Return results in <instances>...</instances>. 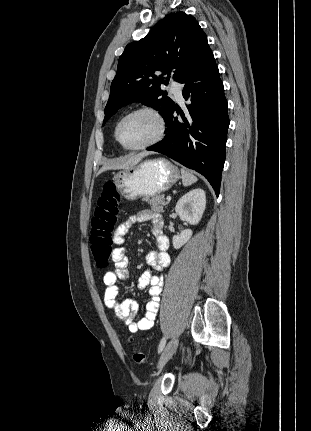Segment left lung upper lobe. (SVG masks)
<instances>
[{"label": "left lung upper lobe", "instance_id": "left-lung-upper-lobe-1", "mask_svg": "<svg viewBox=\"0 0 311 431\" xmlns=\"http://www.w3.org/2000/svg\"><path fill=\"white\" fill-rule=\"evenodd\" d=\"M208 49L206 35L193 16L184 12L166 15L145 38L127 45L120 56L104 122L135 100L156 108L165 119L174 102L160 89L161 83L165 84L163 74L168 75V82L174 72V80L180 82Z\"/></svg>", "mask_w": 311, "mask_h": 431}]
</instances>
